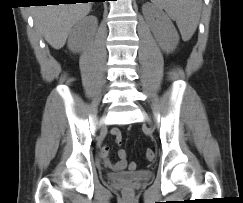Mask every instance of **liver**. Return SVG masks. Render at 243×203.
Masks as SVG:
<instances>
[{
    "instance_id": "obj_1",
    "label": "liver",
    "mask_w": 243,
    "mask_h": 203,
    "mask_svg": "<svg viewBox=\"0 0 243 203\" xmlns=\"http://www.w3.org/2000/svg\"><path fill=\"white\" fill-rule=\"evenodd\" d=\"M90 10V3L36 6L33 9L35 26L54 49H61L72 27Z\"/></svg>"
}]
</instances>
